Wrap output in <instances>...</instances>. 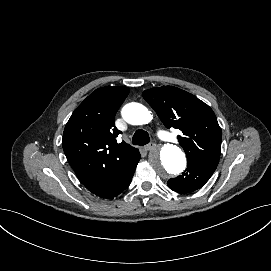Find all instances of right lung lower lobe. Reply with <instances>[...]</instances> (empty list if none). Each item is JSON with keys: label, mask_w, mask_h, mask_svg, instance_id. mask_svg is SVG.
I'll list each match as a JSON object with an SVG mask.
<instances>
[{"label": "right lung lower lobe", "mask_w": 271, "mask_h": 271, "mask_svg": "<svg viewBox=\"0 0 271 271\" xmlns=\"http://www.w3.org/2000/svg\"><path fill=\"white\" fill-rule=\"evenodd\" d=\"M140 158L141 155L138 151L130 160L114 167L111 174L104 177L96 187L88 190L107 199L119 195L129 186Z\"/></svg>", "instance_id": "98d812e1"}]
</instances>
